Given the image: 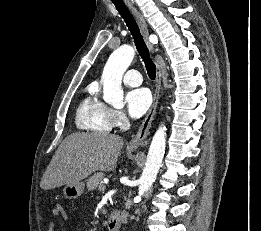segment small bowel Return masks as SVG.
I'll list each match as a JSON object with an SVG mask.
<instances>
[{"instance_id":"c3829d8e","label":"small bowel","mask_w":261,"mask_h":231,"mask_svg":"<svg viewBox=\"0 0 261 231\" xmlns=\"http://www.w3.org/2000/svg\"><path fill=\"white\" fill-rule=\"evenodd\" d=\"M58 217L65 218L66 213L63 210V208L59 205H56L52 208L51 214H50V221L48 225V231H55L56 228V220Z\"/></svg>"}]
</instances>
